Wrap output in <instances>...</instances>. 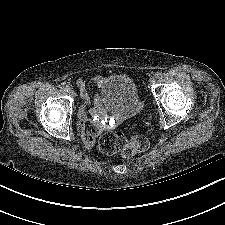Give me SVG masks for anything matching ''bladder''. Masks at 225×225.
I'll list each match as a JSON object with an SVG mask.
<instances>
[{
    "label": "bladder",
    "instance_id": "31cf9c89",
    "mask_svg": "<svg viewBox=\"0 0 225 225\" xmlns=\"http://www.w3.org/2000/svg\"><path fill=\"white\" fill-rule=\"evenodd\" d=\"M99 98L108 110L128 117L138 114L143 108L135 82L123 75L108 78L101 86Z\"/></svg>",
    "mask_w": 225,
    "mask_h": 225
}]
</instances>
